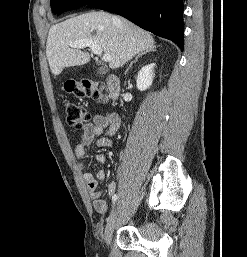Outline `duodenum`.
Here are the masks:
<instances>
[{"label":"duodenum","mask_w":247,"mask_h":257,"mask_svg":"<svg viewBox=\"0 0 247 257\" xmlns=\"http://www.w3.org/2000/svg\"><path fill=\"white\" fill-rule=\"evenodd\" d=\"M105 83L108 89L109 97L111 100H115L120 93V83L116 76L108 75L105 78Z\"/></svg>","instance_id":"duodenum-1"}]
</instances>
